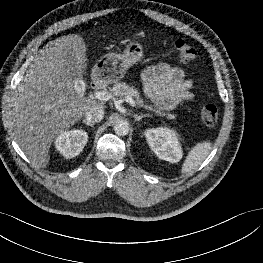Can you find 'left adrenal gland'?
Listing matches in <instances>:
<instances>
[{
    "label": "left adrenal gland",
    "mask_w": 263,
    "mask_h": 263,
    "mask_svg": "<svg viewBox=\"0 0 263 263\" xmlns=\"http://www.w3.org/2000/svg\"><path fill=\"white\" fill-rule=\"evenodd\" d=\"M144 117H151V115L150 114H142V113L140 115L134 114V119L138 122Z\"/></svg>",
    "instance_id": "1"
}]
</instances>
